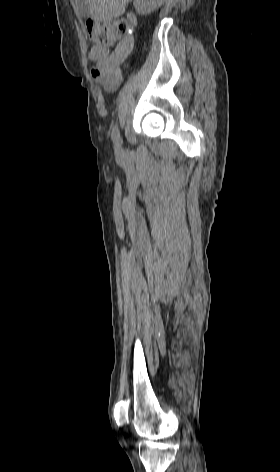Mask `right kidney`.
Here are the masks:
<instances>
[{
    "label": "right kidney",
    "mask_w": 280,
    "mask_h": 472,
    "mask_svg": "<svg viewBox=\"0 0 280 472\" xmlns=\"http://www.w3.org/2000/svg\"><path fill=\"white\" fill-rule=\"evenodd\" d=\"M163 0H135L134 6L136 11L141 15H147L156 10Z\"/></svg>",
    "instance_id": "obj_1"
}]
</instances>
